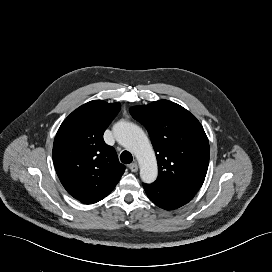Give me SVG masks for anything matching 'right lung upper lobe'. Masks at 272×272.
Masks as SVG:
<instances>
[{
    "label": "right lung upper lobe",
    "mask_w": 272,
    "mask_h": 272,
    "mask_svg": "<svg viewBox=\"0 0 272 272\" xmlns=\"http://www.w3.org/2000/svg\"><path fill=\"white\" fill-rule=\"evenodd\" d=\"M120 110V103L90 101L61 124L53 145V162L67 192L84 204L105 198L125 171L103 134Z\"/></svg>",
    "instance_id": "cb5924a9"
}]
</instances>
